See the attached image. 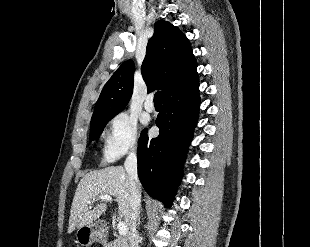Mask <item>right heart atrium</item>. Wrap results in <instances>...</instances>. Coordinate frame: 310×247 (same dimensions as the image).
I'll use <instances>...</instances> for the list:
<instances>
[{"instance_id": "d8ad5b80", "label": "right heart atrium", "mask_w": 310, "mask_h": 247, "mask_svg": "<svg viewBox=\"0 0 310 247\" xmlns=\"http://www.w3.org/2000/svg\"><path fill=\"white\" fill-rule=\"evenodd\" d=\"M138 148V126L128 113L122 112L113 117L104 134V157L108 161L133 154Z\"/></svg>"}]
</instances>
